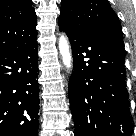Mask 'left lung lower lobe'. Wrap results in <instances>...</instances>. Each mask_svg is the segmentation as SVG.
Instances as JSON below:
<instances>
[{"mask_svg":"<svg viewBox=\"0 0 136 136\" xmlns=\"http://www.w3.org/2000/svg\"><path fill=\"white\" fill-rule=\"evenodd\" d=\"M60 30L73 52L69 100L75 136H131L123 41L105 33Z\"/></svg>","mask_w":136,"mask_h":136,"instance_id":"left-lung-lower-lobe-1","label":"left lung lower lobe"}]
</instances>
